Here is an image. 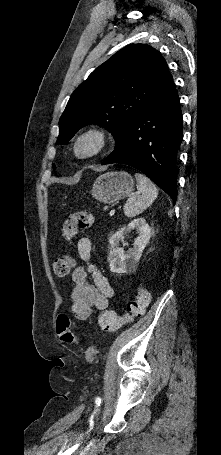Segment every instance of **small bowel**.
Instances as JSON below:
<instances>
[{"label": "small bowel", "instance_id": "small-bowel-1", "mask_svg": "<svg viewBox=\"0 0 221 455\" xmlns=\"http://www.w3.org/2000/svg\"><path fill=\"white\" fill-rule=\"evenodd\" d=\"M77 253L84 265L78 266L71 276L69 313L75 319L87 321L92 318L94 310H107L114 290L108 279L91 263L89 238L83 237L78 241Z\"/></svg>", "mask_w": 221, "mask_h": 455}]
</instances>
